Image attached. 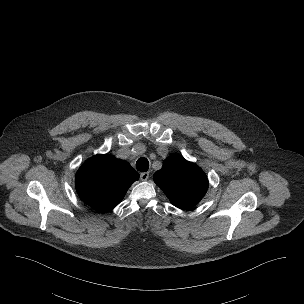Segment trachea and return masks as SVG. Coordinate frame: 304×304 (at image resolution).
<instances>
[{
  "label": "trachea",
  "mask_w": 304,
  "mask_h": 304,
  "mask_svg": "<svg viewBox=\"0 0 304 304\" xmlns=\"http://www.w3.org/2000/svg\"><path fill=\"white\" fill-rule=\"evenodd\" d=\"M137 170L141 172H146L149 169V161L145 157H141L136 162Z\"/></svg>",
  "instance_id": "1"
}]
</instances>
